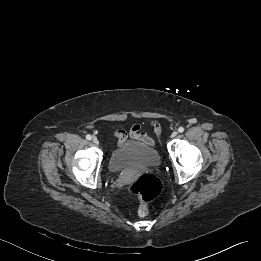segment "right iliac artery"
<instances>
[{
	"label": "right iliac artery",
	"instance_id": "right-iliac-artery-1",
	"mask_svg": "<svg viewBox=\"0 0 261 261\" xmlns=\"http://www.w3.org/2000/svg\"><path fill=\"white\" fill-rule=\"evenodd\" d=\"M86 139H87V140H91V139H92L91 135H89V134L86 135Z\"/></svg>",
	"mask_w": 261,
	"mask_h": 261
}]
</instances>
